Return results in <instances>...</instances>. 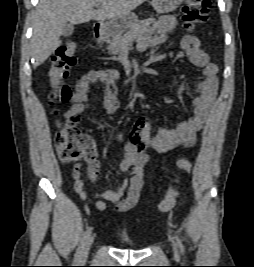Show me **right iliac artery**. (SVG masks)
Returning <instances> with one entry per match:
<instances>
[{
    "instance_id": "obj_1",
    "label": "right iliac artery",
    "mask_w": 254,
    "mask_h": 267,
    "mask_svg": "<svg viewBox=\"0 0 254 267\" xmlns=\"http://www.w3.org/2000/svg\"><path fill=\"white\" fill-rule=\"evenodd\" d=\"M91 234V228H88L82 235V240L80 242L79 247L77 248L75 257H74V262L78 263L80 261V256H81V252L83 249V246L85 244V241L87 240V238L90 236Z\"/></svg>"
}]
</instances>
